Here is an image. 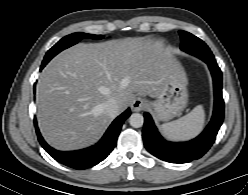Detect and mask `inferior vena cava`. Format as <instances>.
Instances as JSON below:
<instances>
[{"label":"inferior vena cava","instance_id":"602c4592","mask_svg":"<svg viewBox=\"0 0 248 195\" xmlns=\"http://www.w3.org/2000/svg\"><path fill=\"white\" fill-rule=\"evenodd\" d=\"M103 112L110 116V117H116L119 112V105L117 100L110 98L108 99L103 105H102Z\"/></svg>","mask_w":248,"mask_h":195}]
</instances>
